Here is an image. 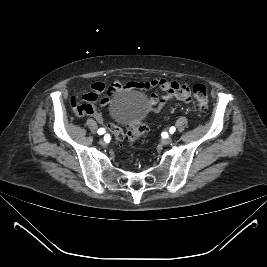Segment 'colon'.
<instances>
[{
    "instance_id": "5ec220e1",
    "label": "colon",
    "mask_w": 267,
    "mask_h": 267,
    "mask_svg": "<svg viewBox=\"0 0 267 267\" xmlns=\"http://www.w3.org/2000/svg\"><path fill=\"white\" fill-rule=\"evenodd\" d=\"M193 95L196 108L204 112L208 108V95L206 87L202 84H196L193 87ZM109 129L117 141L126 140L133 145L146 132V125L143 122L131 124L126 133L115 123L109 124Z\"/></svg>"
}]
</instances>
